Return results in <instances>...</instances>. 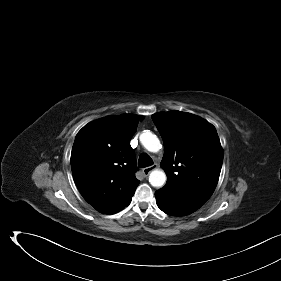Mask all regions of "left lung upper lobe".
Here are the masks:
<instances>
[{
  "label": "left lung upper lobe",
  "mask_w": 281,
  "mask_h": 281,
  "mask_svg": "<svg viewBox=\"0 0 281 281\" xmlns=\"http://www.w3.org/2000/svg\"><path fill=\"white\" fill-rule=\"evenodd\" d=\"M164 141L161 167L165 186L191 190L210 198L219 179L223 149L215 127L203 118L181 111L152 115Z\"/></svg>",
  "instance_id": "1"
}]
</instances>
